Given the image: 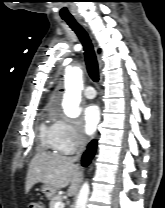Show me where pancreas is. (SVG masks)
Returning <instances> with one entry per match:
<instances>
[{"label": "pancreas", "instance_id": "pancreas-1", "mask_svg": "<svg viewBox=\"0 0 165 208\" xmlns=\"http://www.w3.org/2000/svg\"><path fill=\"white\" fill-rule=\"evenodd\" d=\"M62 201V197L55 195L53 198H51L50 203H49V208H55V204L57 202H61Z\"/></svg>", "mask_w": 165, "mask_h": 208}]
</instances>
